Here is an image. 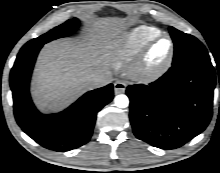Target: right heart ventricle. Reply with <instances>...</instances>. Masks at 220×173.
I'll use <instances>...</instances> for the list:
<instances>
[{"mask_svg":"<svg viewBox=\"0 0 220 173\" xmlns=\"http://www.w3.org/2000/svg\"><path fill=\"white\" fill-rule=\"evenodd\" d=\"M158 34L157 28L141 25L119 36L112 44L114 66L123 69L130 65L145 43Z\"/></svg>","mask_w":220,"mask_h":173,"instance_id":"e07e8e85","label":"right heart ventricle"}]
</instances>
